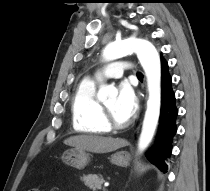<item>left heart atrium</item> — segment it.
<instances>
[{"label": "left heart atrium", "instance_id": "39dd6f15", "mask_svg": "<svg viewBox=\"0 0 210 191\" xmlns=\"http://www.w3.org/2000/svg\"><path fill=\"white\" fill-rule=\"evenodd\" d=\"M116 106L119 114L126 120H129L135 114L138 107V98L129 83L122 82L120 84Z\"/></svg>", "mask_w": 210, "mask_h": 191}]
</instances>
